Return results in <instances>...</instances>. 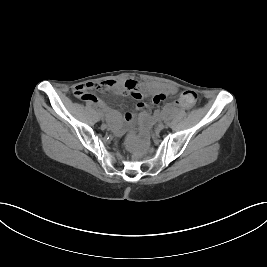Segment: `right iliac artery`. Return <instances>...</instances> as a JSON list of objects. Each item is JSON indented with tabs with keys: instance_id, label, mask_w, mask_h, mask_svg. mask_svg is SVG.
Segmentation results:
<instances>
[{
	"instance_id": "right-iliac-artery-1",
	"label": "right iliac artery",
	"mask_w": 267,
	"mask_h": 267,
	"mask_svg": "<svg viewBox=\"0 0 267 267\" xmlns=\"http://www.w3.org/2000/svg\"><path fill=\"white\" fill-rule=\"evenodd\" d=\"M96 112H97L98 114H102V111H101L99 108H96Z\"/></svg>"
}]
</instances>
